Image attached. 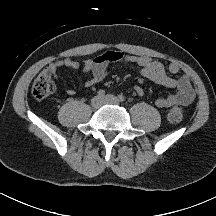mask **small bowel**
Listing matches in <instances>:
<instances>
[{
  "label": "small bowel",
  "instance_id": "1",
  "mask_svg": "<svg viewBox=\"0 0 216 216\" xmlns=\"http://www.w3.org/2000/svg\"><path fill=\"white\" fill-rule=\"evenodd\" d=\"M114 64H134L143 77L159 85L176 88V93L158 98L155 101V105L158 108H169L175 105L187 106L194 100L195 94L189 78L183 75L176 79L168 74H177L180 71L177 63H171L166 69L161 62L146 55H129L111 50L96 57L87 58L82 64L70 58L58 60L52 62L45 71L50 72L54 78L58 79L59 73L64 67L72 70L82 69L87 75L84 82L85 87H92L106 77L108 68ZM134 90L139 95L144 93L143 88L139 85H136ZM65 93L74 95L75 90L73 88H65Z\"/></svg>",
  "mask_w": 216,
  "mask_h": 216
}]
</instances>
